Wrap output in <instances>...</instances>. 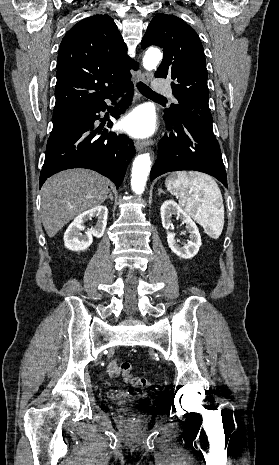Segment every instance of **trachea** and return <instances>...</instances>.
I'll return each mask as SVG.
<instances>
[{
  "instance_id": "1",
  "label": "trachea",
  "mask_w": 279,
  "mask_h": 465,
  "mask_svg": "<svg viewBox=\"0 0 279 465\" xmlns=\"http://www.w3.org/2000/svg\"><path fill=\"white\" fill-rule=\"evenodd\" d=\"M139 91L146 97L156 98V99H165V97L157 94L156 92L152 91L147 85L142 82L137 84Z\"/></svg>"
}]
</instances>
